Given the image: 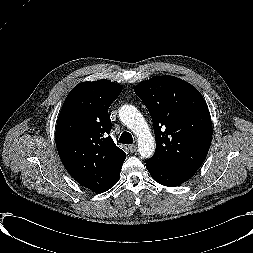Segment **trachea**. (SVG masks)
<instances>
[{
	"mask_svg": "<svg viewBox=\"0 0 253 253\" xmlns=\"http://www.w3.org/2000/svg\"><path fill=\"white\" fill-rule=\"evenodd\" d=\"M119 143L123 144H132L133 138L132 135L129 132H123L119 138Z\"/></svg>",
	"mask_w": 253,
	"mask_h": 253,
	"instance_id": "obj_1",
	"label": "trachea"
}]
</instances>
